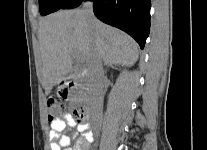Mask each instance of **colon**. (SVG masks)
Wrapping results in <instances>:
<instances>
[{
    "label": "colon",
    "mask_w": 207,
    "mask_h": 150,
    "mask_svg": "<svg viewBox=\"0 0 207 150\" xmlns=\"http://www.w3.org/2000/svg\"><path fill=\"white\" fill-rule=\"evenodd\" d=\"M47 108H48V118L50 121L63 117L67 112V105L63 101L55 97H50L48 99ZM77 116L79 118H83L81 112H77Z\"/></svg>",
    "instance_id": "obj_1"
}]
</instances>
